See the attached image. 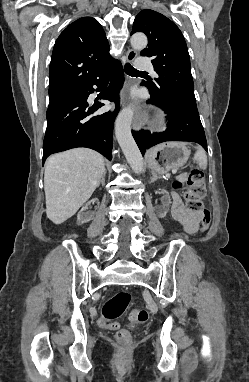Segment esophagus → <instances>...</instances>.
Wrapping results in <instances>:
<instances>
[{"instance_id":"1","label":"esophagus","mask_w":249,"mask_h":382,"mask_svg":"<svg viewBox=\"0 0 249 382\" xmlns=\"http://www.w3.org/2000/svg\"><path fill=\"white\" fill-rule=\"evenodd\" d=\"M137 57V52L133 49L128 50L126 54V59L128 62H133L135 58ZM142 121H143V111L142 108L139 106L134 114L133 118V127L134 129L138 130L142 126Z\"/></svg>"}]
</instances>
